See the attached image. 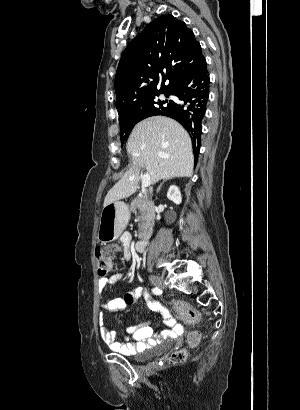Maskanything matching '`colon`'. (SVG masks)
Returning <instances> with one entry per match:
<instances>
[{"instance_id":"colon-1","label":"colon","mask_w":300,"mask_h":410,"mask_svg":"<svg viewBox=\"0 0 300 410\" xmlns=\"http://www.w3.org/2000/svg\"><path fill=\"white\" fill-rule=\"evenodd\" d=\"M95 257L97 262V269L98 273L101 276H105L109 271H111L115 267V260L106 251L97 248L95 251ZM174 309L186 320L187 323L190 325L192 322L198 320V313L195 309H193L189 304L183 301H176L173 304ZM200 341V335L197 332L190 333L188 337V344L189 346L193 347L196 346ZM186 358V351L179 350L172 352L169 355V363L170 364H178L185 360Z\"/></svg>"}]
</instances>
